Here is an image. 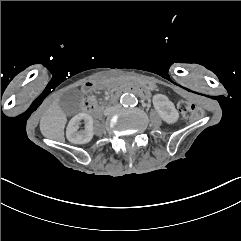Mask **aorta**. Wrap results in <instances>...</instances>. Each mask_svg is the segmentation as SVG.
Wrapping results in <instances>:
<instances>
[{
  "mask_svg": "<svg viewBox=\"0 0 241 241\" xmlns=\"http://www.w3.org/2000/svg\"><path fill=\"white\" fill-rule=\"evenodd\" d=\"M121 102L123 103V105L130 106V105L135 104L136 99H135V97L133 95L124 94L121 97Z\"/></svg>",
  "mask_w": 241,
  "mask_h": 241,
  "instance_id": "1",
  "label": "aorta"
}]
</instances>
